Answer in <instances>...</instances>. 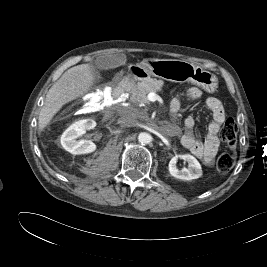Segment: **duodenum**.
<instances>
[{
	"label": "duodenum",
	"instance_id": "duodenum-1",
	"mask_svg": "<svg viewBox=\"0 0 267 267\" xmlns=\"http://www.w3.org/2000/svg\"><path fill=\"white\" fill-rule=\"evenodd\" d=\"M137 77L136 73H133L127 77H125L118 85L117 88V95L119 98H121L123 101L126 99V94L128 93L132 82Z\"/></svg>",
	"mask_w": 267,
	"mask_h": 267
}]
</instances>
